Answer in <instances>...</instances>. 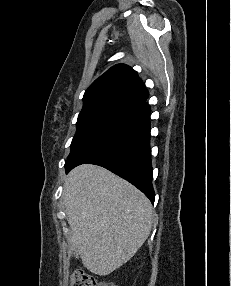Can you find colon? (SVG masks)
<instances>
[{
    "label": "colon",
    "mask_w": 231,
    "mask_h": 286,
    "mask_svg": "<svg viewBox=\"0 0 231 286\" xmlns=\"http://www.w3.org/2000/svg\"><path fill=\"white\" fill-rule=\"evenodd\" d=\"M70 286H117L113 283L97 280L83 270H76L71 274Z\"/></svg>",
    "instance_id": "obj_1"
}]
</instances>
